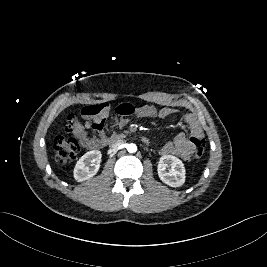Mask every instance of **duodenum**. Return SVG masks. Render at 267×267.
<instances>
[{
    "mask_svg": "<svg viewBox=\"0 0 267 267\" xmlns=\"http://www.w3.org/2000/svg\"><path fill=\"white\" fill-rule=\"evenodd\" d=\"M124 139V136L122 135H115L113 136L110 140H109V143H110V146L111 148H115L117 147ZM142 142L147 144L149 142V139L147 137H142Z\"/></svg>",
    "mask_w": 267,
    "mask_h": 267,
    "instance_id": "410a0bca",
    "label": "duodenum"
}]
</instances>
